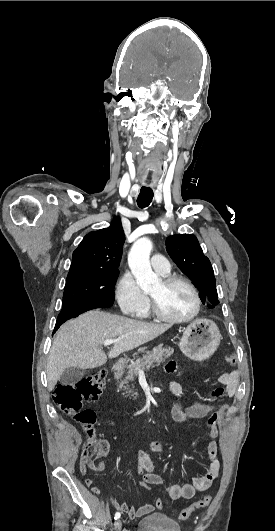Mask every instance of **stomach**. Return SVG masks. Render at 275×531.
I'll use <instances>...</instances> for the list:
<instances>
[{
    "label": "stomach",
    "mask_w": 275,
    "mask_h": 531,
    "mask_svg": "<svg viewBox=\"0 0 275 531\" xmlns=\"http://www.w3.org/2000/svg\"><path fill=\"white\" fill-rule=\"evenodd\" d=\"M222 337L214 321L196 319L186 327L179 347L186 357L193 361L210 359L217 351Z\"/></svg>",
    "instance_id": "obj_1"
}]
</instances>
